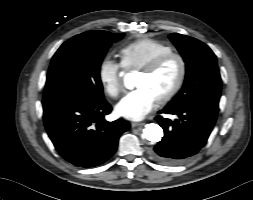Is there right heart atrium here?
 <instances>
[{
    "label": "right heart atrium",
    "mask_w": 253,
    "mask_h": 200,
    "mask_svg": "<svg viewBox=\"0 0 253 200\" xmlns=\"http://www.w3.org/2000/svg\"><path fill=\"white\" fill-rule=\"evenodd\" d=\"M98 78L110 97H117L124 89L123 66L108 57L104 58L99 65Z\"/></svg>",
    "instance_id": "d8ad5b80"
}]
</instances>
